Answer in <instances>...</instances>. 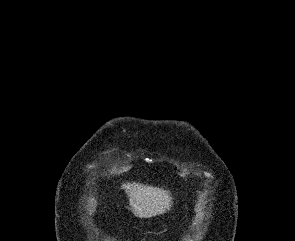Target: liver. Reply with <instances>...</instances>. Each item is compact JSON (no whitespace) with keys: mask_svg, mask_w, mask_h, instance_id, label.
<instances>
[{"mask_svg":"<svg viewBox=\"0 0 295 241\" xmlns=\"http://www.w3.org/2000/svg\"><path fill=\"white\" fill-rule=\"evenodd\" d=\"M129 204L133 213L139 218H150L169 211L173 202L169 191L140 183H124Z\"/></svg>","mask_w":295,"mask_h":241,"instance_id":"obj_1","label":"liver"}]
</instances>
